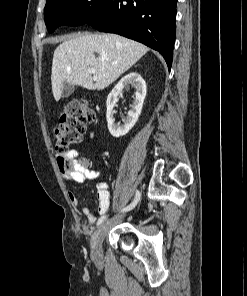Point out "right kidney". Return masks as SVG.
Segmentation results:
<instances>
[{"label": "right kidney", "instance_id": "right-kidney-1", "mask_svg": "<svg viewBox=\"0 0 247 296\" xmlns=\"http://www.w3.org/2000/svg\"><path fill=\"white\" fill-rule=\"evenodd\" d=\"M133 83L136 92L134 101L132 104V109L128 112L127 117L124 119V124L121 126L119 123H115V119L113 118L114 110L113 108L116 106L118 101V95L122 92L124 87ZM147 87L144 79L137 72H131L125 75L112 89L110 94L107 97V124L109 132L112 136L118 138L126 135L135 123L138 120V117L141 113L142 106L144 103V99L146 96Z\"/></svg>", "mask_w": 247, "mask_h": 296}]
</instances>
